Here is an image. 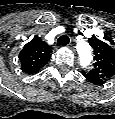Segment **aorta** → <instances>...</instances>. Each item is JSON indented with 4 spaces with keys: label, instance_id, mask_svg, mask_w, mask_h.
Wrapping results in <instances>:
<instances>
[{
    "label": "aorta",
    "instance_id": "obj_1",
    "mask_svg": "<svg viewBox=\"0 0 115 119\" xmlns=\"http://www.w3.org/2000/svg\"><path fill=\"white\" fill-rule=\"evenodd\" d=\"M77 50L79 54L80 64L83 67H88L93 58L91 46L87 42L81 41L77 45Z\"/></svg>",
    "mask_w": 115,
    "mask_h": 119
}]
</instances>
